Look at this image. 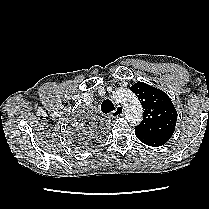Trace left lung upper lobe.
<instances>
[{
  "label": "left lung upper lobe",
  "instance_id": "1",
  "mask_svg": "<svg viewBox=\"0 0 209 209\" xmlns=\"http://www.w3.org/2000/svg\"><path fill=\"white\" fill-rule=\"evenodd\" d=\"M130 89L138 96L144 109L143 120L135 127V133L168 141L177 120L176 109L168 95L143 82L135 83Z\"/></svg>",
  "mask_w": 209,
  "mask_h": 209
}]
</instances>
